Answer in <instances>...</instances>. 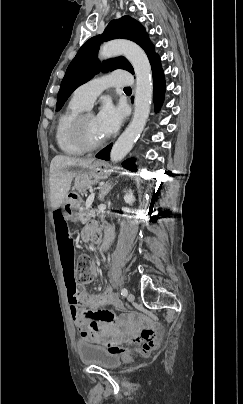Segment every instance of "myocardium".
Masks as SVG:
<instances>
[{
	"label": "myocardium",
	"instance_id": "myocardium-1",
	"mask_svg": "<svg viewBox=\"0 0 243 404\" xmlns=\"http://www.w3.org/2000/svg\"><path fill=\"white\" fill-rule=\"evenodd\" d=\"M88 116H94L91 111H83L80 113L75 119L71 122L70 127H69V132L73 140L82 148H84L87 151H92L96 150L100 147L103 146L104 141H98V142H90L88 141L83 133H82V125L84 120Z\"/></svg>",
	"mask_w": 243,
	"mask_h": 404
}]
</instances>
